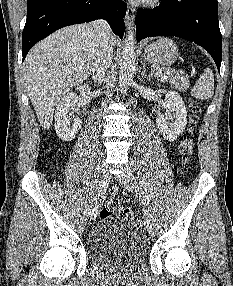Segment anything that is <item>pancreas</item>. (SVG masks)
<instances>
[{
  "label": "pancreas",
  "mask_w": 233,
  "mask_h": 286,
  "mask_svg": "<svg viewBox=\"0 0 233 286\" xmlns=\"http://www.w3.org/2000/svg\"><path fill=\"white\" fill-rule=\"evenodd\" d=\"M163 71V77L160 80L165 83L169 82L173 84L178 90L184 92L189 87V80L182 74H179L177 71L171 68H159Z\"/></svg>",
  "instance_id": "pancreas-1"
}]
</instances>
